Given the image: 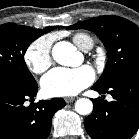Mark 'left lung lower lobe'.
I'll return each instance as SVG.
<instances>
[{"label": "left lung lower lobe", "instance_id": "obj_1", "mask_svg": "<svg viewBox=\"0 0 139 139\" xmlns=\"http://www.w3.org/2000/svg\"><path fill=\"white\" fill-rule=\"evenodd\" d=\"M100 94H111L114 101L93 100L94 109L84 120L93 139H130L139 128V66L120 75L111 85H94Z\"/></svg>", "mask_w": 139, "mask_h": 139}]
</instances>
